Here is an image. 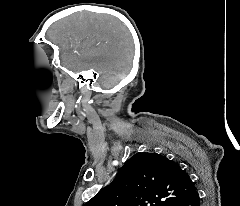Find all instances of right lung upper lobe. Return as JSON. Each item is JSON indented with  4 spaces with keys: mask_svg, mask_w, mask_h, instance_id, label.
I'll return each mask as SVG.
<instances>
[{
    "mask_svg": "<svg viewBox=\"0 0 240 206\" xmlns=\"http://www.w3.org/2000/svg\"><path fill=\"white\" fill-rule=\"evenodd\" d=\"M196 190L188 174L157 153H137L119 170L114 182L84 206H170Z\"/></svg>",
    "mask_w": 240,
    "mask_h": 206,
    "instance_id": "1",
    "label": "right lung upper lobe"
}]
</instances>
